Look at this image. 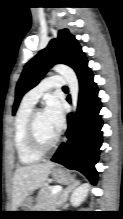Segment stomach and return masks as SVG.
Returning a JSON list of instances; mask_svg holds the SVG:
<instances>
[{"label": "stomach", "mask_w": 123, "mask_h": 219, "mask_svg": "<svg viewBox=\"0 0 123 219\" xmlns=\"http://www.w3.org/2000/svg\"><path fill=\"white\" fill-rule=\"evenodd\" d=\"M51 174L58 183H69L73 181V178L65 170L59 167L53 168ZM21 206L23 210L17 211H34L35 209V204L31 198L26 199Z\"/></svg>", "instance_id": "obj_1"}]
</instances>
